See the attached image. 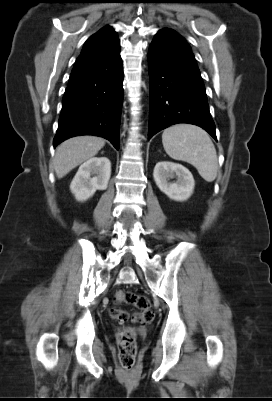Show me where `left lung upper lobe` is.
Instances as JSON below:
<instances>
[{
  "instance_id": "left-lung-upper-lobe-1",
  "label": "left lung upper lobe",
  "mask_w": 272,
  "mask_h": 401,
  "mask_svg": "<svg viewBox=\"0 0 272 401\" xmlns=\"http://www.w3.org/2000/svg\"><path fill=\"white\" fill-rule=\"evenodd\" d=\"M165 29L171 31L172 33H174L175 35H177L182 41H184V42L186 43V41H185L176 31H174V30H172V29H168V28H165Z\"/></svg>"
}]
</instances>
